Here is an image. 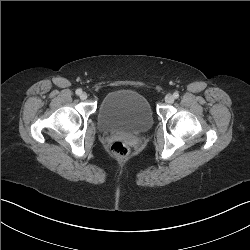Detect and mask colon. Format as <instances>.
Instances as JSON below:
<instances>
[{
	"label": "colon",
	"instance_id": "1",
	"mask_svg": "<svg viewBox=\"0 0 250 250\" xmlns=\"http://www.w3.org/2000/svg\"><path fill=\"white\" fill-rule=\"evenodd\" d=\"M111 154L118 159L126 158L130 153L129 145L123 140H116L110 145Z\"/></svg>",
	"mask_w": 250,
	"mask_h": 250
}]
</instances>
